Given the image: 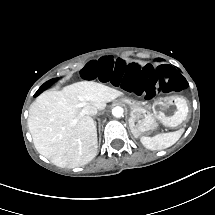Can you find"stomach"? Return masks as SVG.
<instances>
[{
  "label": "stomach",
  "instance_id": "1",
  "mask_svg": "<svg viewBox=\"0 0 215 215\" xmlns=\"http://www.w3.org/2000/svg\"><path fill=\"white\" fill-rule=\"evenodd\" d=\"M121 101L130 108L129 127L135 137L153 132L159 124L181 132L188 119L187 101L181 96L159 97L152 107L130 98H122Z\"/></svg>",
  "mask_w": 215,
  "mask_h": 215
}]
</instances>
